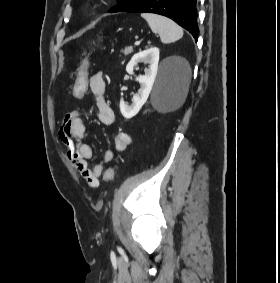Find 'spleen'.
<instances>
[{"mask_svg":"<svg viewBox=\"0 0 280 283\" xmlns=\"http://www.w3.org/2000/svg\"><path fill=\"white\" fill-rule=\"evenodd\" d=\"M141 16L147 21L154 33L159 34L162 43H172L183 37V29L171 19L152 13H142ZM190 78L187 72L186 81Z\"/></svg>","mask_w":280,"mask_h":283,"instance_id":"1","label":"spleen"}]
</instances>
